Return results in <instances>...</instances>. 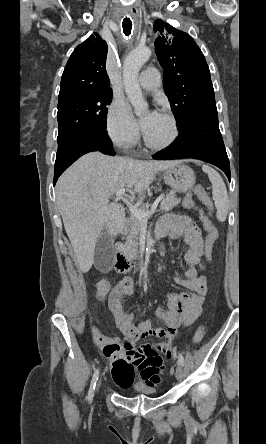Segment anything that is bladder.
Listing matches in <instances>:
<instances>
[{
    "instance_id": "bladder-1",
    "label": "bladder",
    "mask_w": 266,
    "mask_h": 444,
    "mask_svg": "<svg viewBox=\"0 0 266 444\" xmlns=\"http://www.w3.org/2000/svg\"><path fill=\"white\" fill-rule=\"evenodd\" d=\"M135 391H136L137 393H139L140 395H142V396H147V397H150V396H152V395L155 394V391H154V390H152V389H147V388H145V387H141V386L136 387V388H135Z\"/></svg>"
}]
</instances>
